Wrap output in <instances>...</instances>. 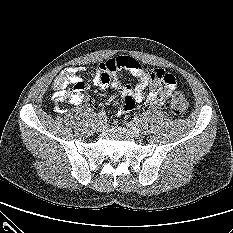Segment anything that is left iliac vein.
Instances as JSON below:
<instances>
[{
	"label": "left iliac vein",
	"mask_w": 233,
	"mask_h": 233,
	"mask_svg": "<svg viewBox=\"0 0 233 233\" xmlns=\"http://www.w3.org/2000/svg\"><path fill=\"white\" fill-rule=\"evenodd\" d=\"M126 126H127L128 130L135 137H139L141 135V128L137 123L130 121V122H127Z\"/></svg>",
	"instance_id": "left-iliac-vein-1"
}]
</instances>
